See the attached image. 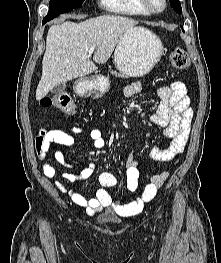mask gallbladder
I'll list each match as a JSON object with an SVG mask.
<instances>
[{"mask_svg": "<svg viewBox=\"0 0 221 263\" xmlns=\"http://www.w3.org/2000/svg\"><path fill=\"white\" fill-rule=\"evenodd\" d=\"M66 88V84L65 83H61L59 85H56L55 87H53V89L51 90V93L55 94V95H59L61 94Z\"/></svg>", "mask_w": 221, "mask_h": 263, "instance_id": "1", "label": "gallbladder"}]
</instances>
